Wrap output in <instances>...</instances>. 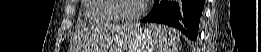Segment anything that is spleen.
Wrapping results in <instances>:
<instances>
[{"instance_id": "3e777b00", "label": "spleen", "mask_w": 261, "mask_h": 52, "mask_svg": "<svg viewBox=\"0 0 261 52\" xmlns=\"http://www.w3.org/2000/svg\"><path fill=\"white\" fill-rule=\"evenodd\" d=\"M148 29L156 38L157 52H176L179 36L175 30L157 25H151Z\"/></svg>"}]
</instances>
